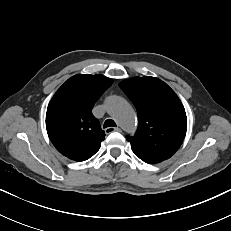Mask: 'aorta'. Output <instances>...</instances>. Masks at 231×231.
<instances>
[{
    "instance_id": "aorta-1",
    "label": "aorta",
    "mask_w": 231,
    "mask_h": 231,
    "mask_svg": "<svg viewBox=\"0 0 231 231\" xmlns=\"http://www.w3.org/2000/svg\"><path fill=\"white\" fill-rule=\"evenodd\" d=\"M108 112L119 122L126 131L135 130V117L129 103L119 96H111L106 101Z\"/></svg>"
}]
</instances>
